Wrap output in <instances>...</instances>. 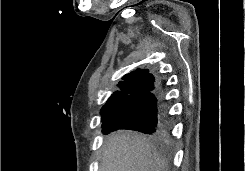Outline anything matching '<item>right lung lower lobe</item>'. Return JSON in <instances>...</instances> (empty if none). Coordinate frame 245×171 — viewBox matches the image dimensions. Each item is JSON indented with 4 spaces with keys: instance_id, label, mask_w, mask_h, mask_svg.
Returning a JSON list of instances; mask_svg holds the SVG:
<instances>
[{
    "instance_id": "1",
    "label": "right lung lower lobe",
    "mask_w": 245,
    "mask_h": 171,
    "mask_svg": "<svg viewBox=\"0 0 245 171\" xmlns=\"http://www.w3.org/2000/svg\"><path fill=\"white\" fill-rule=\"evenodd\" d=\"M168 111L160 86L154 92L119 102L103 120L102 131L107 134L117 129H130L167 140L170 130Z\"/></svg>"
}]
</instances>
